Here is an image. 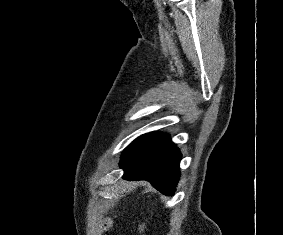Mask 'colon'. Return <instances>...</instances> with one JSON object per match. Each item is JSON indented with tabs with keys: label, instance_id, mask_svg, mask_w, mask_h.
<instances>
[{
	"label": "colon",
	"instance_id": "colon-1",
	"mask_svg": "<svg viewBox=\"0 0 283 235\" xmlns=\"http://www.w3.org/2000/svg\"><path fill=\"white\" fill-rule=\"evenodd\" d=\"M145 229H146V226L144 224L141 225L140 228H139L140 233L143 234L145 232Z\"/></svg>",
	"mask_w": 283,
	"mask_h": 235
}]
</instances>
